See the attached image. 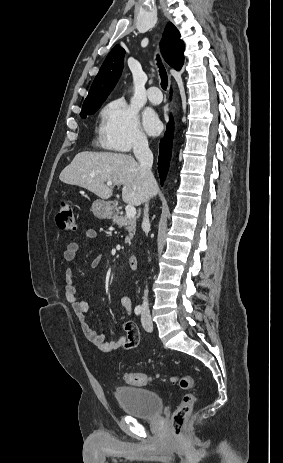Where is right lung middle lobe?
<instances>
[{"instance_id":"1","label":"right lung middle lobe","mask_w":283,"mask_h":463,"mask_svg":"<svg viewBox=\"0 0 283 463\" xmlns=\"http://www.w3.org/2000/svg\"><path fill=\"white\" fill-rule=\"evenodd\" d=\"M102 103L103 102L82 107V111L80 113V116L85 118L87 115L94 114L99 109V107L101 106Z\"/></svg>"}]
</instances>
